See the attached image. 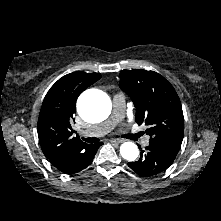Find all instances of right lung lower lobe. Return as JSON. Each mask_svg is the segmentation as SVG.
Segmentation results:
<instances>
[{"mask_svg":"<svg viewBox=\"0 0 221 221\" xmlns=\"http://www.w3.org/2000/svg\"><path fill=\"white\" fill-rule=\"evenodd\" d=\"M102 144H103L102 142L91 144L90 147L83 153L81 158L78 160L77 164L70 171L65 172V173H67V174L78 173L81 170H83L86 167H88L91 164L97 149Z\"/></svg>","mask_w":221,"mask_h":221,"instance_id":"obj_1","label":"right lung lower lobe"}]
</instances>
